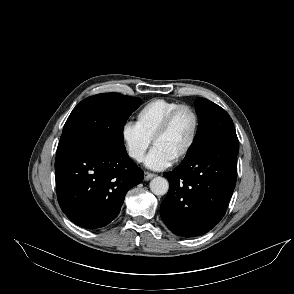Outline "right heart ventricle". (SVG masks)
I'll return each instance as SVG.
<instances>
[{
  "mask_svg": "<svg viewBox=\"0 0 294 294\" xmlns=\"http://www.w3.org/2000/svg\"><path fill=\"white\" fill-rule=\"evenodd\" d=\"M178 105L180 103L166 99L151 100L137 112L136 123L144 134L152 139L167 114Z\"/></svg>",
  "mask_w": 294,
  "mask_h": 294,
  "instance_id": "right-heart-ventricle-1",
  "label": "right heart ventricle"
}]
</instances>
